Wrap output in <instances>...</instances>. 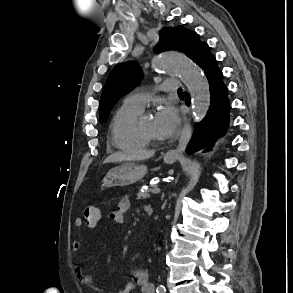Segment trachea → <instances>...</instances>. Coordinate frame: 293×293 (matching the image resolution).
Returning a JSON list of instances; mask_svg holds the SVG:
<instances>
[{"instance_id":"trachea-1","label":"trachea","mask_w":293,"mask_h":293,"mask_svg":"<svg viewBox=\"0 0 293 293\" xmlns=\"http://www.w3.org/2000/svg\"><path fill=\"white\" fill-rule=\"evenodd\" d=\"M178 93H183V91L182 90H179Z\"/></svg>"}]
</instances>
